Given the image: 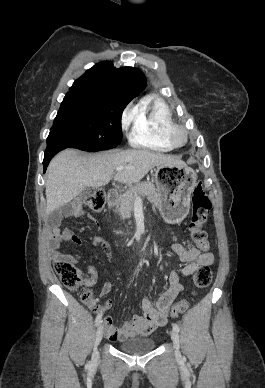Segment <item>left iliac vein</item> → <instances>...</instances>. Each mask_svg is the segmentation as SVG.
Masks as SVG:
<instances>
[{
  "label": "left iliac vein",
  "mask_w": 265,
  "mask_h": 388,
  "mask_svg": "<svg viewBox=\"0 0 265 388\" xmlns=\"http://www.w3.org/2000/svg\"><path fill=\"white\" fill-rule=\"evenodd\" d=\"M171 339L173 341L174 349H175V355L177 358L181 356L179 348H180V340L178 332L174 329L170 332Z\"/></svg>",
  "instance_id": "4c4485c4"
}]
</instances>
